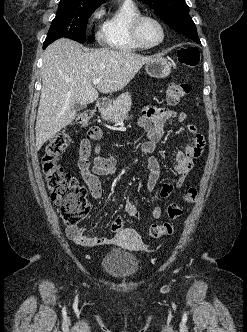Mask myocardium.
<instances>
[{"instance_id": "1", "label": "myocardium", "mask_w": 247, "mask_h": 332, "mask_svg": "<svg viewBox=\"0 0 247 332\" xmlns=\"http://www.w3.org/2000/svg\"><path fill=\"white\" fill-rule=\"evenodd\" d=\"M146 19L153 20L159 26V28L161 30V39L154 44L144 43L139 34L140 25ZM165 35H166V33H165V28H164L163 23L157 17H155L153 15L141 14V15L137 16L131 24V36H132L133 40L135 41V43L137 45H139L142 49H151V48L159 46L160 44L163 43V41L165 39Z\"/></svg>"}]
</instances>
